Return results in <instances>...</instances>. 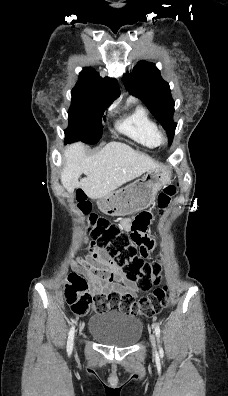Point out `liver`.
Returning a JSON list of instances; mask_svg holds the SVG:
<instances>
[{
    "label": "liver",
    "mask_w": 228,
    "mask_h": 396,
    "mask_svg": "<svg viewBox=\"0 0 228 396\" xmlns=\"http://www.w3.org/2000/svg\"><path fill=\"white\" fill-rule=\"evenodd\" d=\"M61 181L68 192L81 188L91 199H98L143 173L162 168L151 157L121 142H110L94 155H87L81 142L64 151ZM82 174L86 177L79 181Z\"/></svg>",
    "instance_id": "liver-1"
}]
</instances>
